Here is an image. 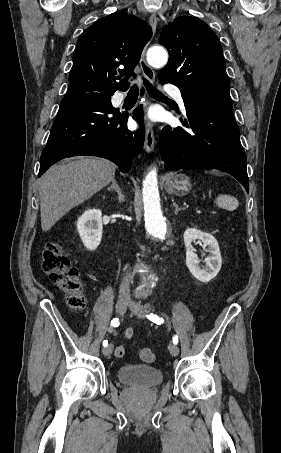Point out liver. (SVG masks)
I'll return each instance as SVG.
<instances>
[{
  "label": "liver",
  "instance_id": "liver-1",
  "mask_svg": "<svg viewBox=\"0 0 281 453\" xmlns=\"http://www.w3.org/2000/svg\"><path fill=\"white\" fill-rule=\"evenodd\" d=\"M114 176L115 164L94 156L51 166L38 186L42 231H50L59 218L107 186Z\"/></svg>",
  "mask_w": 281,
  "mask_h": 453
}]
</instances>
